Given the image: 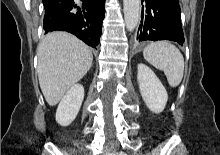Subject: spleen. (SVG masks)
I'll list each match as a JSON object with an SVG mask.
<instances>
[{
	"label": "spleen",
	"mask_w": 220,
	"mask_h": 155,
	"mask_svg": "<svg viewBox=\"0 0 220 155\" xmlns=\"http://www.w3.org/2000/svg\"><path fill=\"white\" fill-rule=\"evenodd\" d=\"M143 56L152 66L164 72L171 87L181 83L184 58L175 45L168 41L152 42L144 48Z\"/></svg>",
	"instance_id": "obj_1"
}]
</instances>
